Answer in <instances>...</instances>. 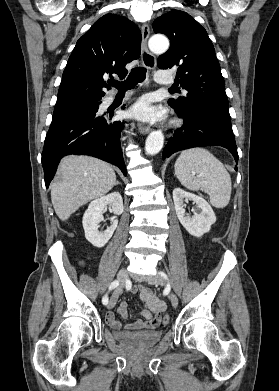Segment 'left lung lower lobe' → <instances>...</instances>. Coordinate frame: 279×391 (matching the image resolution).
Segmentation results:
<instances>
[{
	"mask_svg": "<svg viewBox=\"0 0 279 391\" xmlns=\"http://www.w3.org/2000/svg\"><path fill=\"white\" fill-rule=\"evenodd\" d=\"M174 110L180 118H183L184 124L176 130L173 138L165 146L162 153L163 159L180 150L218 145L228 149L238 162L237 146L230 117L207 107H193L185 111L176 108Z\"/></svg>",
	"mask_w": 279,
	"mask_h": 391,
	"instance_id": "obj_1",
	"label": "left lung lower lobe"
}]
</instances>
